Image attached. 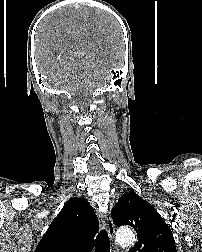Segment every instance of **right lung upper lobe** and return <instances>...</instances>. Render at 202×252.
Segmentation results:
<instances>
[{"label":"right lung upper lobe","instance_id":"cb5924a9","mask_svg":"<svg viewBox=\"0 0 202 252\" xmlns=\"http://www.w3.org/2000/svg\"><path fill=\"white\" fill-rule=\"evenodd\" d=\"M98 218L85 199L71 198L40 240L35 252H90Z\"/></svg>","mask_w":202,"mask_h":252}]
</instances>
